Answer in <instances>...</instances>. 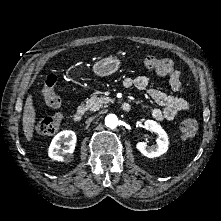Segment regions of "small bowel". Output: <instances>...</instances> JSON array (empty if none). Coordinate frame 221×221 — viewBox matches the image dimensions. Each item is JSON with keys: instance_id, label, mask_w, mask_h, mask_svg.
Here are the masks:
<instances>
[{"instance_id": "small-bowel-1", "label": "small bowel", "mask_w": 221, "mask_h": 221, "mask_svg": "<svg viewBox=\"0 0 221 221\" xmlns=\"http://www.w3.org/2000/svg\"><path fill=\"white\" fill-rule=\"evenodd\" d=\"M123 86L125 88H136L148 94L159 106L148 111V114L155 120H174L180 112L187 111L190 108V104L185 98L150 88L147 76L126 77L123 80ZM170 86L174 92H183L184 86L180 71H177L174 77H170Z\"/></svg>"}]
</instances>
